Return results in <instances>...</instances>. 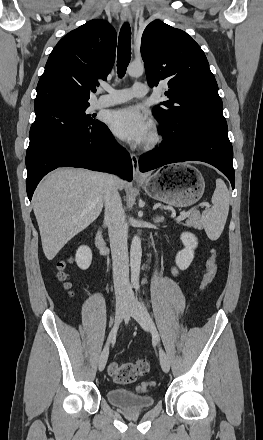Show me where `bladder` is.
<instances>
[{
  "mask_svg": "<svg viewBox=\"0 0 263 440\" xmlns=\"http://www.w3.org/2000/svg\"><path fill=\"white\" fill-rule=\"evenodd\" d=\"M107 400L124 411H141L151 408L155 398L148 393H135L127 388H110L106 392Z\"/></svg>",
  "mask_w": 263,
  "mask_h": 440,
  "instance_id": "31cf9c89",
  "label": "bladder"
}]
</instances>
